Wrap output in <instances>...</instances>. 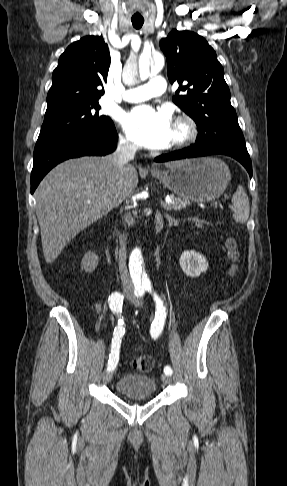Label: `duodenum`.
Listing matches in <instances>:
<instances>
[{
  "label": "duodenum",
  "mask_w": 287,
  "mask_h": 486,
  "mask_svg": "<svg viewBox=\"0 0 287 486\" xmlns=\"http://www.w3.org/2000/svg\"><path fill=\"white\" fill-rule=\"evenodd\" d=\"M163 224H164L163 218L161 216H158L156 218V226H155L156 233H159L162 230ZM115 235L117 238L120 239V234L118 232H115Z\"/></svg>",
  "instance_id": "obj_1"
}]
</instances>
